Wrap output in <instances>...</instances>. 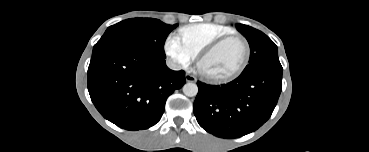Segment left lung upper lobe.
Listing matches in <instances>:
<instances>
[{"instance_id": "obj_1", "label": "left lung upper lobe", "mask_w": 369, "mask_h": 152, "mask_svg": "<svg viewBox=\"0 0 369 152\" xmlns=\"http://www.w3.org/2000/svg\"><path fill=\"white\" fill-rule=\"evenodd\" d=\"M236 27L248 40L251 50L249 64L245 67L243 74L264 68L282 69L277 46L268 36L247 25L237 24Z\"/></svg>"}]
</instances>
